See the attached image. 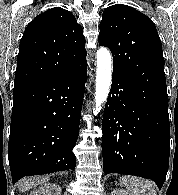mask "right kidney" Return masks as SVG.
<instances>
[{"label":"right kidney","instance_id":"obj_1","mask_svg":"<svg viewBox=\"0 0 178 195\" xmlns=\"http://www.w3.org/2000/svg\"><path fill=\"white\" fill-rule=\"evenodd\" d=\"M29 195H61V188L57 184L46 183L33 190Z\"/></svg>","mask_w":178,"mask_h":195}]
</instances>
